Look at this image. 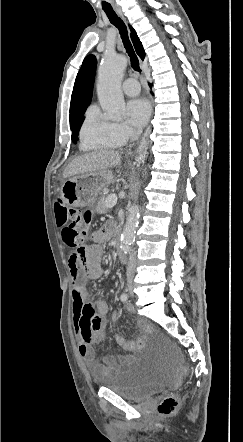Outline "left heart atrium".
<instances>
[{"label": "left heart atrium", "mask_w": 243, "mask_h": 442, "mask_svg": "<svg viewBox=\"0 0 243 442\" xmlns=\"http://www.w3.org/2000/svg\"><path fill=\"white\" fill-rule=\"evenodd\" d=\"M150 115V105L143 98H134L127 104V116L130 124L136 128L143 127Z\"/></svg>", "instance_id": "left-heart-atrium-1"}]
</instances>
